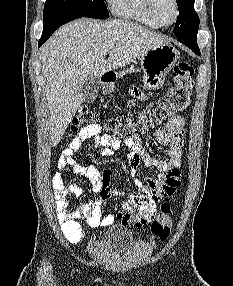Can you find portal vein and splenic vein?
Listing matches in <instances>:
<instances>
[{"mask_svg":"<svg viewBox=\"0 0 233 286\" xmlns=\"http://www.w3.org/2000/svg\"><path fill=\"white\" fill-rule=\"evenodd\" d=\"M109 49H110V47H106V48H105V51H108Z\"/></svg>","mask_w":233,"mask_h":286,"instance_id":"obj_1","label":"portal vein and splenic vein"}]
</instances>
